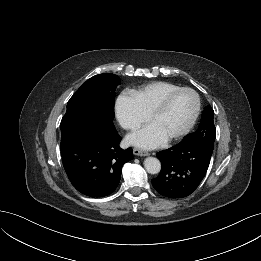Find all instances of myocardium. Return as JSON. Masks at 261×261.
<instances>
[{
  "instance_id": "f54148a6",
  "label": "myocardium",
  "mask_w": 261,
  "mask_h": 261,
  "mask_svg": "<svg viewBox=\"0 0 261 261\" xmlns=\"http://www.w3.org/2000/svg\"><path fill=\"white\" fill-rule=\"evenodd\" d=\"M184 92H189L194 95L196 101L195 109L188 124L180 132L168 137L167 138L168 141H175L183 138L194 127L201 110V99L199 94L194 89L188 87H181L167 94L149 115V120L152 121L156 116L160 115L167 109V107L169 106L170 102L173 100L174 97Z\"/></svg>"
}]
</instances>
